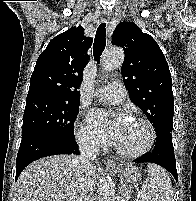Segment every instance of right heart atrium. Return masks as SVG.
I'll return each instance as SVG.
<instances>
[{
	"label": "right heart atrium",
	"instance_id": "obj_1",
	"mask_svg": "<svg viewBox=\"0 0 196 201\" xmlns=\"http://www.w3.org/2000/svg\"><path fill=\"white\" fill-rule=\"evenodd\" d=\"M76 138L79 144L89 148H99L102 142L94 135L88 125L81 122L77 126Z\"/></svg>",
	"mask_w": 196,
	"mask_h": 201
}]
</instances>
